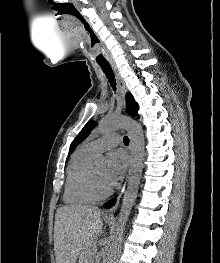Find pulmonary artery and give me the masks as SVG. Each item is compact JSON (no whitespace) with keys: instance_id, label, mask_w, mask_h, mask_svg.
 <instances>
[{"instance_id":"e3ab8cb5","label":"pulmonary artery","mask_w":220,"mask_h":263,"mask_svg":"<svg viewBox=\"0 0 220 263\" xmlns=\"http://www.w3.org/2000/svg\"><path fill=\"white\" fill-rule=\"evenodd\" d=\"M121 142L118 134H109L88 142L85 146L94 154L102 152L105 149L116 146Z\"/></svg>"}]
</instances>
